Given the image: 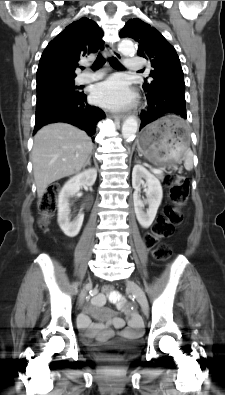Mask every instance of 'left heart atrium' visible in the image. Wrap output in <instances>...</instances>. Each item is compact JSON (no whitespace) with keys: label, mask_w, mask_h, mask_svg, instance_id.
I'll return each instance as SVG.
<instances>
[{"label":"left heart atrium","mask_w":225,"mask_h":395,"mask_svg":"<svg viewBox=\"0 0 225 395\" xmlns=\"http://www.w3.org/2000/svg\"><path fill=\"white\" fill-rule=\"evenodd\" d=\"M92 98L97 104L120 108L130 103L132 94L122 78L112 77L94 88Z\"/></svg>","instance_id":"left-heart-atrium-1"}]
</instances>
